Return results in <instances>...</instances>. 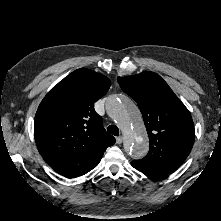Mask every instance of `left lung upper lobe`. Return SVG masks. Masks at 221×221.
<instances>
[{"instance_id": "obj_1", "label": "left lung upper lobe", "mask_w": 221, "mask_h": 221, "mask_svg": "<svg viewBox=\"0 0 221 221\" xmlns=\"http://www.w3.org/2000/svg\"><path fill=\"white\" fill-rule=\"evenodd\" d=\"M121 89L138 104L149 135L148 154L132 163L145 172L169 174L189 155L194 143L190 112L156 73L118 77Z\"/></svg>"}]
</instances>
